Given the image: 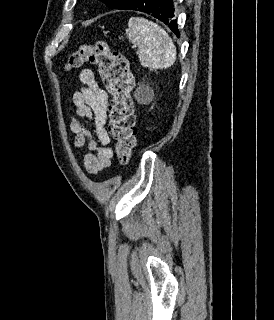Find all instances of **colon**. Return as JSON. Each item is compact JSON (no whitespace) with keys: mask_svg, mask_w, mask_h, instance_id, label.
<instances>
[{"mask_svg":"<svg viewBox=\"0 0 274 320\" xmlns=\"http://www.w3.org/2000/svg\"><path fill=\"white\" fill-rule=\"evenodd\" d=\"M96 66L105 89L111 97L109 131L115 141L120 162L127 164L135 150L136 120L131 97L133 76L124 55L111 51L104 41L85 44L69 55L67 69H78L83 64Z\"/></svg>","mask_w":274,"mask_h":320,"instance_id":"5ec220e1","label":"colon"}]
</instances>
